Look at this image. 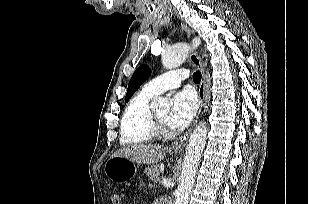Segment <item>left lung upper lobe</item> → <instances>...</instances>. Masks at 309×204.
Instances as JSON below:
<instances>
[{"mask_svg":"<svg viewBox=\"0 0 309 204\" xmlns=\"http://www.w3.org/2000/svg\"><path fill=\"white\" fill-rule=\"evenodd\" d=\"M151 71L148 66L141 65L134 72L129 84L125 100L127 101L140 85L149 77Z\"/></svg>","mask_w":309,"mask_h":204,"instance_id":"left-lung-upper-lobe-1","label":"left lung upper lobe"}]
</instances>
